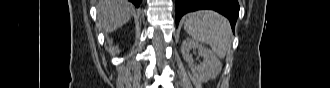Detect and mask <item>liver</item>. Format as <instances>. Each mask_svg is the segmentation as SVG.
Listing matches in <instances>:
<instances>
[{"label":"liver","instance_id":"6515ba94","mask_svg":"<svg viewBox=\"0 0 330 88\" xmlns=\"http://www.w3.org/2000/svg\"><path fill=\"white\" fill-rule=\"evenodd\" d=\"M97 11L99 24L106 33H111L131 19L134 6L126 0H100Z\"/></svg>","mask_w":330,"mask_h":88}]
</instances>
